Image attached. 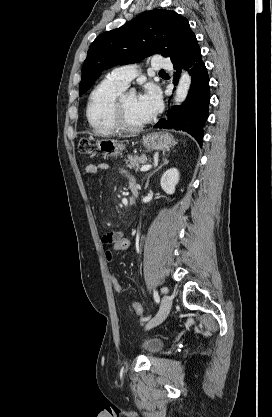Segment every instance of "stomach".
<instances>
[{"instance_id":"0dacf381","label":"stomach","mask_w":272,"mask_h":417,"mask_svg":"<svg viewBox=\"0 0 272 417\" xmlns=\"http://www.w3.org/2000/svg\"><path fill=\"white\" fill-rule=\"evenodd\" d=\"M175 139L167 132H155L143 137V145L147 150H167L175 145ZM98 148L107 157H118L124 150V145L113 139H102Z\"/></svg>"}]
</instances>
